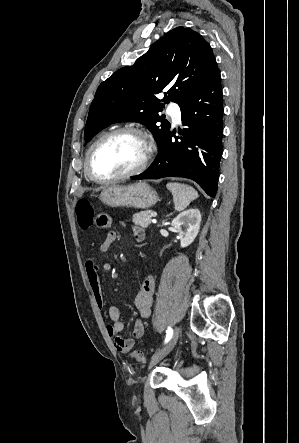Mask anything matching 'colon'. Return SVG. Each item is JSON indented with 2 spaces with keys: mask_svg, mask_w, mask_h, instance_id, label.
<instances>
[{
  "mask_svg": "<svg viewBox=\"0 0 299 443\" xmlns=\"http://www.w3.org/2000/svg\"><path fill=\"white\" fill-rule=\"evenodd\" d=\"M76 214L78 218V224L81 229H89L94 225H97V217L92 204L86 199H80L76 205ZM131 357L138 362H144L146 357L145 353L141 350H133Z\"/></svg>",
  "mask_w": 299,
  "mask_h": 443,
  "instance_id": "1",
  "label": "colon"
}]
</instances>
